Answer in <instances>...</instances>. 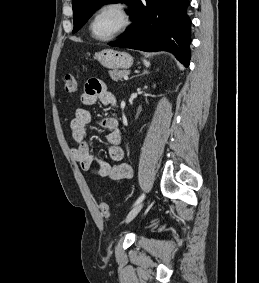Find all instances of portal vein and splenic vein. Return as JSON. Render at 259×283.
<instances>
[{
    "label": "portal vein and splenic vein",
    "mask_w": 259,
    "mask_h": 283,
    "mask_svg": "<svg viewBox=\"0 0 259 283\" xmlns=\"http://www.w3.org/2000/svg\"><path fill=\"white\" fill-rule=\"evenodd\" d=\"M124 80H128V76L127 75L124 76Z\"/></svg>",
    "instance_id": "18ae733b"
}]
</instances>
